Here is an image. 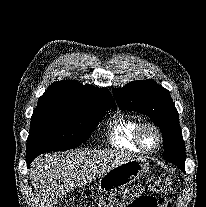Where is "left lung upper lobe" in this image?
<instances>
[{"mask_svg": "<svg viewBox=\"0 0 206 207\" xmlns=\"http://www.w3.org/2000/svg\"><path fill=\"white\" fill-rule=\"evenodd\" d=\"M120 109L139 111L149 116L163 134V157L184 168L185 144L179 125L178 112L170 92L153 80L134 81L113 90Z\"/></svg>", "mask_w": 206, "mask_h": 207, "instance_id": "left-lung-upper-lobe-1", "label": "left lung upper lobe"}]
</instances>
